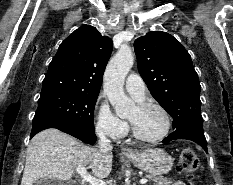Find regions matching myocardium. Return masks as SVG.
<instances>
[{
	"label": "myocardium",
	"mask_w": 233,
	"mask_h": 185,
	"mask_svg": "<svg viewBox=\"0 0 233 185\" xmlns=\"http://www.w3.org/2000/svg\"><path fill=\"white\" fill-rule=\"evenodd\" d=\"M137 107H139V108L152 107V108H156V109L160 110L165 118V128H164L163 132L161 134H159L158 136L153 137V138H147V137L141 136L137 132V130L135 129L134 125L130 122L133 137L136 140H138L139 142L146 143V144H156V143H159L160 141L164 140L169 135V133L172 129V117H171L169 111L160 103L155 102V101H151V100L142 101V102L138 103Z\"/></svg>",
	"instance_id": "obj_1"
}]
</instances>
